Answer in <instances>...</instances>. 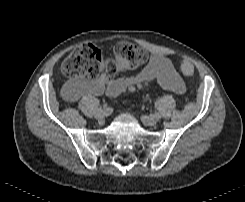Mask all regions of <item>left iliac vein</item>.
I'll list each match as a JSON object with an SVG mask.
<instances>
[{
  "label": "left iliac vein",
  "instance_id": "1",
  "mask_svg": "<svg viewBox=\"0 0 245 202\" xmlns=\"http://www.w3.org/2000/svg\"><path fill=\"white\" fill-rule=\"evenodd\" d=\"M141 120H142L143 124H145L147 126H154L157 123V120L154 117L147 116V115H142Z\"/></svg>",
  "mask_w": 245,
  "mask_h": 202
}]
</instances>
